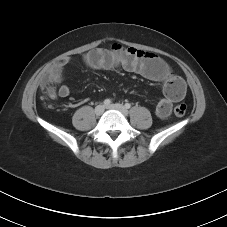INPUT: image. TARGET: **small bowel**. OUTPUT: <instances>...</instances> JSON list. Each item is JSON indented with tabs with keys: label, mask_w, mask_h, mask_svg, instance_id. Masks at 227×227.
I'll use <instances>...</instances> for the list:
<instances>
[{
	"label": "small bowel",
	"mask_w": 227,
	"mask_h": 227,
	"mask_svg": "<svg viewBox=\"0 0 227 227\" xmlns=\"http://www.w3.org/2000/svg\"><path fill=\"white\" fill-rule=\"evenodd\" d=\"M85 64L94 70H112L122 68L125 71L140 74L143 77L163 83V98L156 106V115L166 119L173 103L182 100L185 94V84L182 79L173 74L170 66L154 53L135 49L124 48L114 44L111 48H96L83 57ZM68 59L54 64L45 74V78L53 83H61L64 67ZM70 89L67 85H60L54 97L65 98L69 96Z\"/></svg>",
	"instance_id": "1"
}]
</instances>
